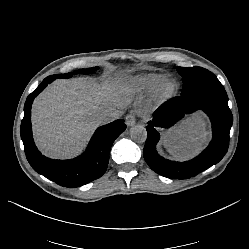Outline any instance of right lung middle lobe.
Returning <instances> with one entry per match:
<instances>
[{
    "mask_svg": "<svg viewBox=\"0 0 249 249\" xmlns=\"http://www.w3.org/2000/svg\"><path fill=\"white\" fill-rule=\"evenodd\" d=\"M98 67H93V68H88V69H79L77 71L67 73V74H57V75H52L48 76V79H56V78H70L74 74L82 73V74H91L94 71H96Z\"/></svg>",
    "mask_w": 249,
    "mask_h": 249,
    "instance_id": "1",
    "label": "right lung middle lobe"
}]
</instances>
